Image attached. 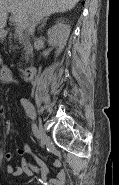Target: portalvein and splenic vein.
Returning <instances> with one entry per match:
<instances>
[{
  "instance_id": "1",
  "label": "portal vein and splenic vein",
  "mask_w": 119,
  "mask_h": 185,
  "mask_svg": "<svg viewBox=\"0 0 119 185\" xmlns=\"http://www.w3.org/2000/svg\"><path fill=\"white\" fill-rule=\"evenodd\" d=\"M23 28L21 26L16 27V33H22Z\"/></svg>"
}]
</instances>
